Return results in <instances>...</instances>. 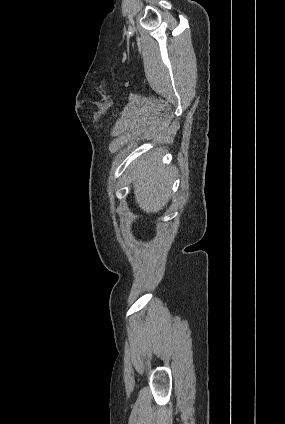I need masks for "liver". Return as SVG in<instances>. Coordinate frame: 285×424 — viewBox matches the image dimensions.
<instances>
[{"instance_id": "6515ba94", "label": "liver", "mask_w": 285, "mask_h": 424, "mask_svg": "<svg viewBox=\"0 0 285 424\" xmlns=\"http://www.w3.org/2000/svg\"><path fill=\"white\" fill-rule=\"evenodd\" d=\"M163 150L132 163L130 170L136 203L146 213H157L170 198L171 169L160 164Z\"/></svg>"}]
</instances>
